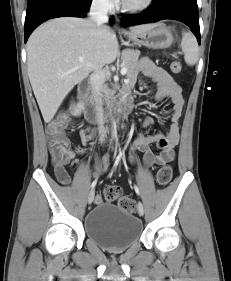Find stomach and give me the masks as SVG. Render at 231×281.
<instances>
[{
  "label": "stomach",
  "instance_id": "obj_1",
  "mask_svg": "<svg viewBox=\"0 0 231 281\" xmlns=\"http://www.w3.org/2000/svg\"><path fill=\"white\" fill-rule=\"evenodd\" d=\"M129 40L140 46L152 49H165L173 42L171 30L162 24H154L151 29L142 32H125Z\"/></svg>",
  "mask_w": 231,
  "mask_h": 281
}]
</instances>
